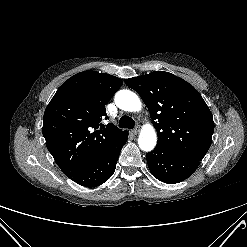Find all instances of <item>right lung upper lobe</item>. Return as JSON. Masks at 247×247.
I'll use <instances>...</instances> for the list:
<instances>
[{
  "label": "right lung upper lobe",
  "instance_id": "right-lung-upper-lobe-1",
  "mask_svg": "<svg viewBox=\"0 0 247 247\" xmlns=\"http://www.w3.org/2000/svg\"><path fill=\"white\" fill-rule=\"evenodd\" d=\"M122 84L118 77L83 71L65 81L46 107L43 136L67 177L81 172L127 133L113 124L98 129L105 105Z\"/></svg>",
  "mask_w": 247,
  "mask_h": 247
}]
</instances>
